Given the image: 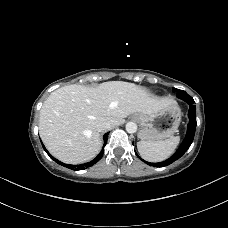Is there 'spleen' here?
<instances>
[{
	"label": "spleen",
	"instance_id": "1",
	"mask_svg": "<svg viewBox=\"0 0 228 228\" xmlns=\"http://www.w3.org/2000/svg\"><path fill=\"white\" fill-rule=\"evenodd\" d=\"M179 142V136L162 141H139L137 149L145 160L160 162L167 159L175 151Z\"/></svg>",
	"mask_w": 228,
	"mask_h": 228
}]
</instances>
